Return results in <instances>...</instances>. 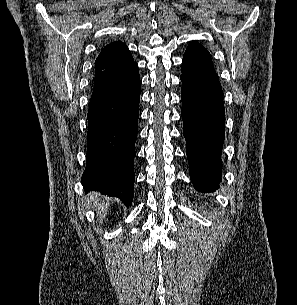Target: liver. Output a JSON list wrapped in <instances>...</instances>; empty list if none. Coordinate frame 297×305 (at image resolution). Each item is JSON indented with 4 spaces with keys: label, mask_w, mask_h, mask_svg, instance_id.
<instances>
[{
    "label": "liver",
    "mask_w": 297,
    "mask_h": 305,
    "mask_svg": "<svg viewBox=\"0 0 297 305\" xmlns=\"http://www.w3.org/2000/svg\"><path fill=\"white\" fill-rule=\"evenodd\" d=\"M100 198L95 193H91L89 196H87L86 202L93 203L94 205H98Z\"/></svg>",
    "instance_id": "liver-1"
}]
</instances>
